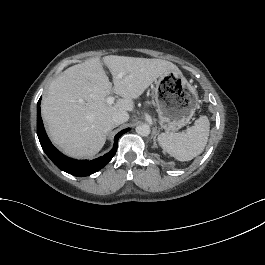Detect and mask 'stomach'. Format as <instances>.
Wrapping results in <instances>:
<instances>
[{
  "label": "stomach",
  "instance_id": "1",
  "mask_svg": "<svg viewBox=\"0 0 265 265\" xmlns=\"http://www.w3.org/2000/svg\"><path fill=\"white\" fill-rule=\"evenodd\" d=\"M154 98L159 123L168 132L185 126L198 106V94L181 72L160 76L155 81Z\"/></svg>",
  "mask_w": 265,
  "mask_h": 265
}]
</instances>
